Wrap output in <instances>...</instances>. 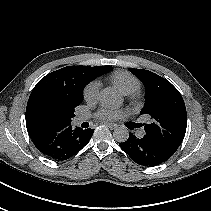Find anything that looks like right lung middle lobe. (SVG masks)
<instances>
[{"label": "right lung middle lobe", "instance_id": "obj_1", "mask_svg": "<svg viewBox=\"0 0 211 211\" xmlns=\"http://www.w3.org/2000/svg\"><path fill=\"white\" fill-rule=\"evenodd\" d=\"M83 99V86L77 94L60 102H46L41 107L40 117L44 128L70 124L74 111Z\"/></svg>", "mask_w": 211, "mask_h": 211}]
</instances>
